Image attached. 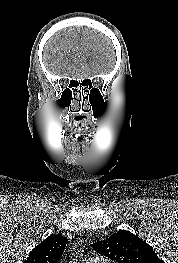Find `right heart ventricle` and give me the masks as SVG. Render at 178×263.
<instances>
[{"mask_svg": "<svg viewBox=\"0 0 178 263\" xmlns=\"http://www.w3.org/2000/svg\"><path fill=\"white\" fill-rule=\"evenodd\" d=\"M84 263H108V262L104 260H100V259H90V260L85 261Z\"/></svg>", "mask_w": 178, "mask_h": 263, "instance_id": "e07e8e85", "label": "right heart ventricle"}]
</instances>
